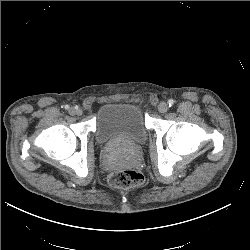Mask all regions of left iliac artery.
Returning a JSON list of instances; mask_svg holds the SVG:
<instances>
[{
    "mask_svg": "<svg viewBox=\"0 0 250 250\" xmlns=\"http://www.w3.org/2000/svg\"><path fill=\"white\" fill-rule=\"evenodd\" d=\"M175 101L173 99L168 100L169 107L173 106Z\"/></svg>",
    "mask_w": 250,
    "mask_h": 250,
    "instance_id": "left-iliac-artery-1",
    "label": "left iliac artery"
}]
</instances>
